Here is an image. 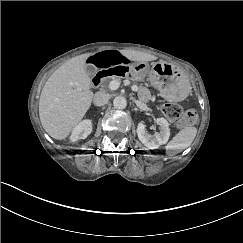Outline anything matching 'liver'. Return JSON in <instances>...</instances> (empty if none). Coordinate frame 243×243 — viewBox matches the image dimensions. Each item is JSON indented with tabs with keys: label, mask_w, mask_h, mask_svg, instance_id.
Returning <instances> with one entry per match:
<instances>
[{
	"label": "liver",
	"mask_w": 243,
	"mask_h": 243,
	"mask_svg": "<svg viewBox=\"0 0 243 243\" xmlns=\"http://www.w3.org/2000/svg\"><path fill=\"white\" fill-rule=\"evenodd\" d=\"M132 61H154L156 56L136 50H120ZM76 56L56 69L45 83L39 100V117L44 130L54 139H65L91 106L93 92L86 72V59Z\"/></svg>",
	"instance_id": "1"
}]
</instances>
